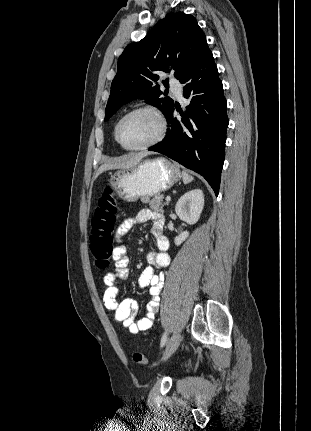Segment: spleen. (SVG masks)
I'll list each match as a JSON object with an SVG mask.
<instances>
[{"label":"spleen","mask_w":311,"mask_h":431,"mask_svg":"<svg viewBox=\"0 0 311 431\" xmlns=\"http://www.w3.org/2000/svg\"><path fill=\"white\" fill-rule=\"evenodd\" d=\"M182 180L183 184H190L194 178L193 176H190V174H187V172H182Z\"/></svg>","instance_id":"obj_1"}]
</instances>
